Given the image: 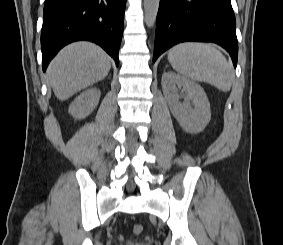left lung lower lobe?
Masks as SVG:
<instances>
[{"label":"left lung lower lobe","mask_w":283,"mask_h":245,"mask_svg":"<svg viewBox=\"0 0 283 245\" xmlns=\"http://www.w3.org/2000/svg\"><path fill=\"white\" fill-rule=\"evenodd\" d=\"M236 21L230 0H160L153 62L184 41L214 42L237 65Z\"/></svg>","instance_id":"1"}]
</instances>
